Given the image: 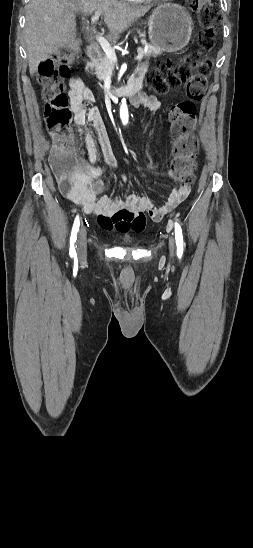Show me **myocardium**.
Listing matches in <instances>:
<instances>
[{"mask_svg": "<svg viewBox=\"0 0 253 548\" xmlns=\"http://www.w3.org/2000/svg\"><path fill=\"white\" fill-rule=\"evenodd\" d=\"M149 1H166V0H149Z\"/></svg>", "mask_w": 253, "mask_h": 548, "instance_id": "myocardium-1", "label": "myocardium"}]
</instances>
